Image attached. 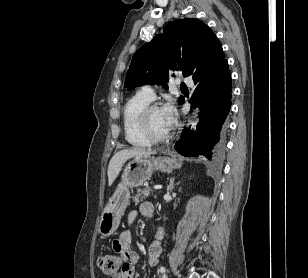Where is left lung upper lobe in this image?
I'll use <instances>...</instances> for the list:
<instances>
[{
    "instance_id": "5c2ea615",
    "label": "left lung upper lobe",
    "mask_w": 308,
    "mask_h": 278,
    "mask_svg": "<svg viewBox=\"0 0 308 278\" xmlns=\"http://www.w3.org/2000/svg\"><path fill=\"white\" fill-rule=\"evenodd\" d=\"M225 60L215 33L202 21L185 18L172 21L134 54L126 75L128 90L144 84H163L171 71H182L184 77H204ZM178 102H184L180 97Z\"/></svg>"
}]
</instances>
